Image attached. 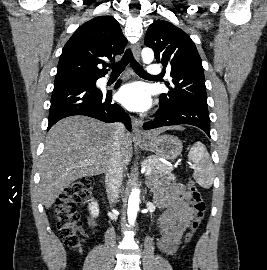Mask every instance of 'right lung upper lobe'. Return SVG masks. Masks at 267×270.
Listing matches in <instances>:
<instances>
[{
  "instance_id": "1",
  "label": "right lung upper lobe",
  "mask_w": 267,
  "mask_h": 270,
  "mask_svg": "<svg viewBox=\"0 0 267 270\" xmlns=\"http://www.w3.org/2000/svg\"><path fill=\"white\" fill-rule=\"evenodd\" d=\"M126 44L127 39L116 19L95 17L82 24L65 44L56 76H104L107 73L105 60L114 61L116 55L123 53Z\"/></svg>"
}]
</instances>
